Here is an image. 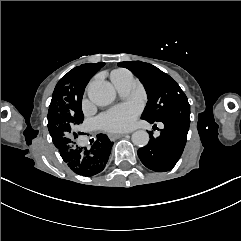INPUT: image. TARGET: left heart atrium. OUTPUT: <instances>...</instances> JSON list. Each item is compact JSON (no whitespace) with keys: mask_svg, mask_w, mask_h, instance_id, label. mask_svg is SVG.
Here are the masks:
<instances>
[{"mask_svg":"<svg viewBox=\"0 0 241 241\" xmlns=\"http://www.w3.org/2000/svg\"><path fill=\"white\" fill-rule=\"evenodd\" d=\"M135 107H119L112 109L97 118L99 126L108 132H125L135 125L137 114Z\"/></svg>","mask_w":241,"mask_h":241,"instance_id":"1","label":"left heart atrium"}]
</instances>
